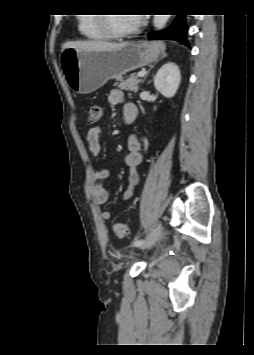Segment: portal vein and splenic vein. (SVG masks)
Wrapping results in <instances>:
<instances>
[{"mask_svg":"<svg viewBox=\"0 0 254 355\" xmlns=\"http://www.w3.org/2000/svg\"><path fill=\"white\" fill-rule=\"evenodd\" d=\"M144 75H145V72H144V71H141V72L138 73V76H139V77H144Z\"/></svg>","mask_w":254,"mask_h":355,"instance_id":"obj_1","label":"portal vein and splenic vein"}]
</instances>
